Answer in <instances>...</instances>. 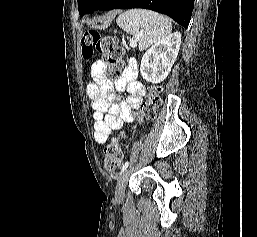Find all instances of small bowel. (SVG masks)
<instances>
[{
  "label": "small bowel",
  "mask_w": 257,
  "mask_h": 237,
  "mask_svg": "<svg viewBox=\"0 0 257 237\" xmlns=\"http://www.w3.org/2000/svg\"><path fill=\"white\" fill-rule=\"evenodd\" d=\"M107 65L97 60L92 66L93 81L87 85L94 119V138L99 144L106 143L112 133L135 119V109L143 102L146 91L137 81V71L130 64L114 83L107 79ZM126 91L129 96L121 99L119 93Z\"/></svg>",
  "instance_id": "obj_1"
}]
</instances>
